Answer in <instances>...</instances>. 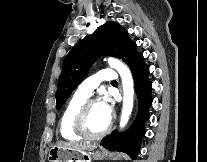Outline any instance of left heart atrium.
<instances>
[{"instance_id":"obj_1","label":"left heart atrium","mask_w":207,"mask_h":162,"mask_svg":"<svg viewBox=\"0 0 207 162\" xmlns=\"http://www.w3.org/2000/svg\"><path fill=\"white\" fill-rule=\"evenodd\" d=\"M101 106L103 107L105 113L109 118H111L113 113V105L108 96H105L102 101L100 102Z\"/></svg>"}]
</instances>
